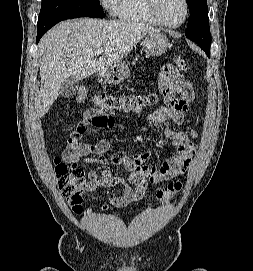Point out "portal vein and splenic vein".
<instances>
[{
	"label": "portal vein and splenic vein",
	"mask_w": 253,
	"mask_h": 271,
	"mask_svg": "<svg viewBox=\"0 0 253 271\" xmlns=\"http://www.w3.org/2000/svg\"><path fill=\"white\" fill-rule=\"evenodd\" d=\"M103 52V50L102 49H99V50H97L95 53L97 54V55H99V54H101Z\"/></svg>",
	"instance_id": "obj_1"
}]
</instances>
